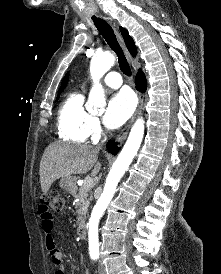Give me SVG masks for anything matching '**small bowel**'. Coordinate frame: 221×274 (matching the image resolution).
<instances>
[{"label":"small bowel","mask_w":221,"mask_h":274,"mask_svg":"<svg viewBox=\"0 0 221 274\" xmlns=\"http://www.w3.org/2000/svg\"><path fill=\"white\" fill-rule=\"evenodd\" d=\"M38 214L40 218L41 229L45 238L46 248L53 263L57 266L55 274H66L65 267L63 265V255L58 249L53 235L54 216L49 207L42 203L38 206Z\"/></svg>","instance_id":"c3829d8e"}]
</instances>
